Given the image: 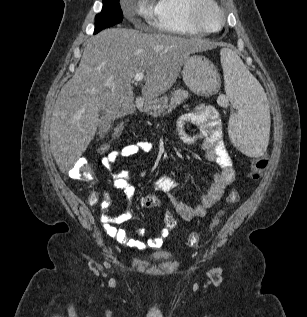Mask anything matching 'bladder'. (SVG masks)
Instances as JSON below:
<instances>
[{"label":"bladder","instance_id":"31cf9c89","mask_svg":"<svg viewBox=\"0 0 307 317\" xmlns=\"http://www.w3.org/2000/svg\"><path fill=\"white\" fill-rule=\"evenodd\" d=\"M169 257L164 255H155L153 257L154 260H167Z\"/></svg>","mask_w":307,"mask_h":317}]
</instances>
